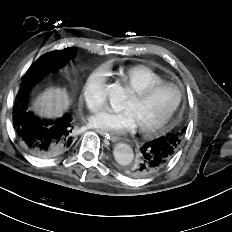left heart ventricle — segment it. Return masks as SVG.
Returning <instances> with one entry per match:
<instances>
[{"label": "left heart ventricle", "instance_id": "left-heart-ventricle-1", "mask_svg": "<svg viewBox=\"0 0 232 232\" xmlns=\"http://www.w3.org/2000/svg\"><path fill=\"white\" fill-rule=\"evenodd\" d=\"M177 99V91L172 87L156 90L143 100L130 94L122 110L132 113L137 126H148L161 120Z\"/></svg>", "mask_w": 232, "mask_h": 232}]
</instances>
